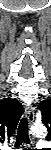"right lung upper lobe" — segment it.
Listing matches in <instances>:
<instances>
[{
    "instance_id": "1",
    "label": "right lung upper lobe",
    "mask_w": 51,
    "mask_h": 150,
    "mask_svg": "<svg viewBox=\"0 0 51 150\" xmlns=\"http://www.w3.org/2000/svg\"><path fill=\"white\" fill-rule=\"evenodd\" d=\"M23 106L14 99L0 100V142L8 141L15 132L19 118L23 114Z\"/></svg>"
}]
</instances>
